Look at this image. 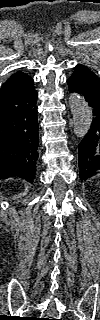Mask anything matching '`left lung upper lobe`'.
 <instances>
[{"label": "left lung upper lobe", "instance_id": "5c2ea615", "mask_svg": "<svg viewBox=\"0 0 100 320\" xmlns=\"http://www.w3.org/2000/svg\"><path fill=\"white\" fill-rule=\"evenodd\" d=\"M75 68L77 70L82 71L83 73H85L89 77L95 79L96 81L100 82V79L88 67H86L84 65H77Z\"/></svg>", "mask_w": 100, "mask_h": 320}]
</instances>
